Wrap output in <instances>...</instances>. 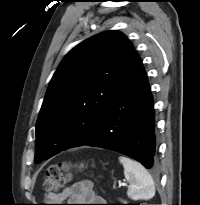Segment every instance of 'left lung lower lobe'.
Instances as JSON below:
<instances>
[{"label":"left lung lower lobe","mask_w":200,"mask_h":205,"mask_svg":"<svg viewBox=\"0 0 200 205\" xmlns=\"http://www.w3.org/2000/svg\"><path fill=\"white\" fill-rule=\"evenodd\" d=\"M82 145L122 153L139 161L147 169L155 167L153 98L136 52L126 67L106 113Z\"/></svg>","instance_id":"0a47b994"}]
</instances>
